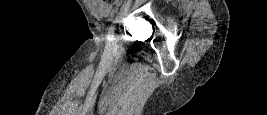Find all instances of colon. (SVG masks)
Returning a JSON list of instances; mask_svg holds the SVG:
<instances>
[{
    "label": "colon",
    "instance_id": "colon-1",
    "mask_svg": "<svg viewBox=\"0 0 267 115\" xmlns=\"http://www.w3.org/2000/svg\"><path fill=\"white\" fill-rule=\"evenodd\" d=\"M98 1L107 5L117 4L118 2H120V0H98Z\"/></svg>",
    "mask_w": 267,
    "mask_h": 115
}]
</instances>
